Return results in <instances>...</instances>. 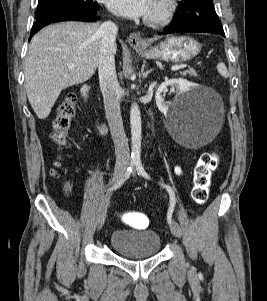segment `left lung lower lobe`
<instances>
[{"instance_id":"obj_1","label":"left lung lower lobe","mask_w":267,"mask_h":301,"mask_svg":"<svg viewBox=\"0 0 267 301\" xmlns=\"http://www.w3.org/2000/svg\"><path fill=\"white\" fill-rule=\"evenodd\" d=\"M203 32L218 34L225 37L224 32L220 33L210 29L209 27L200 24H173L165 27L163 29V32L160 33V35L172 34V33H203Z\"/></svg>"}]
</instances>
